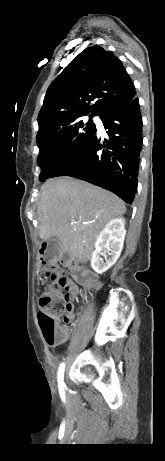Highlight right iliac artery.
<instances>
[{
  "label": "right iliac artery",
  "instance_id": "1",
  "mask_svg": "<svg viewBox=\"0 0 165 461\" xmlns=\"http://www.w3.org/2000/svg\"><path fill=\"white\" fill-rule=\"evenodd\" d=\"M64 368H65V365L62 363L60 365V367H59V370H58V385H59V390L60 391H63V387L65 386V384L63 382Z\"/></svg>",
  "mask_w": 165,
  "mask_h": 461
}]
</instances>
